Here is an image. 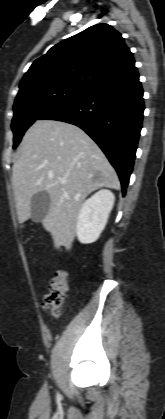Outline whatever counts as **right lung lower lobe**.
<instances>
[{"instance_id":"right-lung-lower-lobe-1","label":"right lung lower lobe","mask_w":165,"mask_h":419,"mask_svg":"<svg viewBox=\"0 0 165 419\" xmlns=\"http://www.w3.org/2000/svg\"><path fill=\"white\" fill-rule=\"evenodd\" d=\"M144 111L143 89L135 66L103 83L82 98L41 119L58 120L82 128L116 169L123 195L133 169Z\"/></svg>"}]
</instances>
